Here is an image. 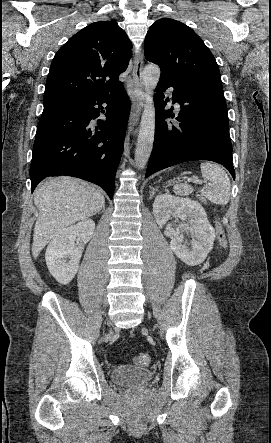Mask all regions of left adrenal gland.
<instances>
[{
    "instance_id": "obj_1",
    "label": "left adrenal gland",
    "mask_w": 271,
    "mask_h": 443,
    "mask_svg": "<svg viewBox=\"0 0 271 443\" xmlns=\"http://www.w3.org/2000/svg\"><path fill=\"white\" fill-rule=\"evenodd\" d=\"M155 192H158L157 188H151V192H150V200H152Z\"/></svg>"
}]
</instances>
